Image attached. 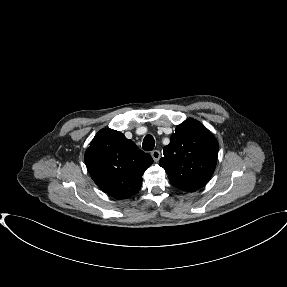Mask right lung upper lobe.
I'll list each match as a JSON object with an SVG mask.
<instances>
[{"label":"right lung upper lobe","mask_w":287,"mask_h":287,"mask_svg":"<svg viewBox=\"0 0 287 287\" xmlns=\"http://www.w3.org/2000/svg\"><path fill=\"white\" fill-rule=\"evenodd\" d=\"M84 160L96 185L117 199L136 194L142 175L153 163L148 153L116 130H100L86 150Z\"/></svg>","instance_id":"1"}]
</instances>
